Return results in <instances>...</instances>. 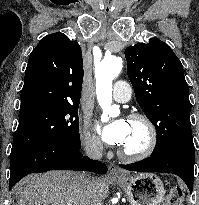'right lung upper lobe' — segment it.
I'll use <instances>...</instances> for the list:
<instances>
[{
	"label": "right lung upper lobe",
	"mask_w": 199,
	"mask_h": 205,
	"mask_svg": "<svg viewBox=\"0 0 199 205\" xmlns=\"http://www.w3.org/2000/svg\"><path fill=\"white\" fill-rule=\"evenodd\" d=\"M82 82L78 42L60 32L49 34L29 56L20 111L42 105L79 104Z\"/></svg>",
	"instance_id": "1"
}]
</instances>
